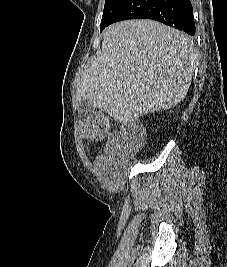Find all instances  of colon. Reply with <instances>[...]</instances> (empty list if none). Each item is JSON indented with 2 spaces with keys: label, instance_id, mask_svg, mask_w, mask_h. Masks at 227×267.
Masks as SVG:
<instances>
[{
  "label": "colon",
  "instance_id": "5ec220e1",
  "mask_svg": "<svg viewBox=\"0 0 227 267\" xmlns=\"http://www.w3.org/2000/svg\"><path fill=\"white\" fill-rule=\"evenodd\" d=\"M110 121L107 115L95 113L87 116L81 123V134L85 139L98 141L106 137L109 132ZM118 139L129 152L139 151L145 144L146 132L134 123L123 126Z\"/></svg>",
  "mask_w": 227,
  "mask_h": 267
}]
</instances>
